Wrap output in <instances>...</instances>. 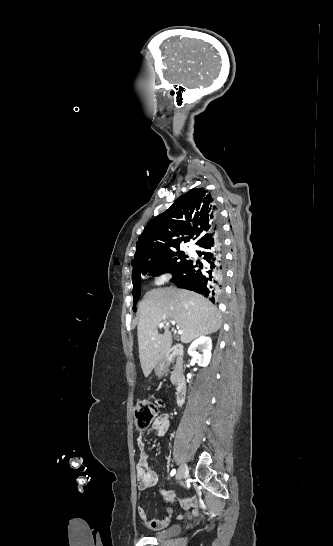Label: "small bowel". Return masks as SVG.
<instances>
[{"mask_svg":"<svg viewBox=\"0 0 333 546\" xmlns=\"http://www.w3.org/2000/svg\"><path fill=\"white\" fill-rule=\"evenodd\" d=\"M170 426V418L167 413H162L157 416V418L154 420L151 430L155 431L158 436H164ZM137 446L139 449V461L136 466V474H137V480H138V502L142 501V491H144L147 488L154 487L157 482V475L156 473L149 467L147 462V452H146V444L143 439V434H141L137 438ZM164 499L173 501L176 499L175 494L171 492L164 493ZM181 507L184 509H189L190 507L194 506L195 503L191 499H180L179 500ZM137 513L141 521L144 523V525L150 529H161L167 526L170 522L171 515L173 513V509L171 507H168L166 509V514L161 518H153L149 519L147 517V513L142 505H139L137 507ZM198 514V509L194 508L191 512L192 516H196ZM179 517H183L182 514L179 515Z\"/></svg>","mask_w":333,"mask_h":546,"instance_id":"obj_1","label":"small bowel"}]
</instances>
